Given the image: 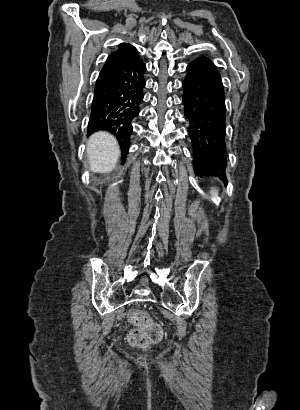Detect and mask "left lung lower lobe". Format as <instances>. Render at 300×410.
<instances>
[{"label": "left lung lower lobe", "instance_id": "left-lung-lower-lobe-1", "mask_svg": "<svg viewBox=\"0 0 300 410\" xmlns=\"http://www.w3.org/2000/svg\"><path fill=\"white\" fill-rule=\"evenodd\" d=\"M186 71L182 100L184 115L190 122L194 171L199 176H218L226 182V106L220 74L206 57L192 61Z\"/></svg>", "mask_w": 300, "mask_h": 410}]
</instances>
